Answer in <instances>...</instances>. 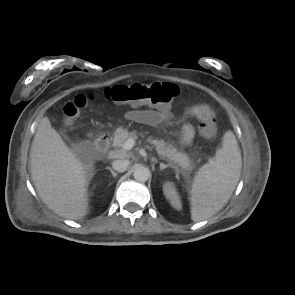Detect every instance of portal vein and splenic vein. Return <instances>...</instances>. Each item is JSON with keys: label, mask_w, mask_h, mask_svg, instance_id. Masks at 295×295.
I'll return each instance as SVG.
<instances>
[{"label": "portal vein and splenic vein", "mask_w": 295, "mask_h": 295, "mask_svg": "<svg viewBox=\"0 0 295 295\" xmlns=\"http://www.w3.org/2000/svg\"><path fill=\"white\" fill-rule=\"evenodd\" d=\"M135 145V140L134 138H128L125 143L122 146V149L127 151V150H131Z\"/></svg>", "instance_id": "1"}]
</instances>
